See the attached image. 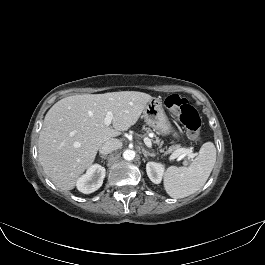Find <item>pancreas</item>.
Wrapping results in <instances>:
<instances>
[{"label":"pancreas","instance_id":"1","mask_svg":"<svg viewBox=\"0 0 265 265\" xmlns=\"http://www.w3.org/2000/svg\"><path fill=\"white\" fill-rule=\"evenodd\" d=\"M154 143L159 145V146L162 145L161 142H160V139L158 137H155ZM183 149H186V148H181L180 145L176 144V145L170 146L166 151L161 149L160 152L163 153L164 155H167V154H174L176 152L182 151ZM188 150L190 152H192L191 149H188Z\"/></svg>","mask_w":265,"mask_h":265}]
</instances>
